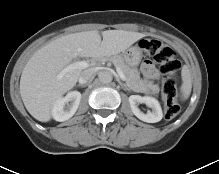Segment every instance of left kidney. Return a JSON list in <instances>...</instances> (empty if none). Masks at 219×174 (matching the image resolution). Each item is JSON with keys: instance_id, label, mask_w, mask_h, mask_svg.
<instances>
[{"instance_id": "5707ae66", "label": "left kidney", "mask_w": 219, "mask_h": 174, "mask_svg": "<svg viewBox=\"0 0 219 174\" xmlns=\"http://www.w3.org/2000/svg\"><path fill=\"white\" fill-rule=\"evenodd\" d=\"M129 103L133 114L140 120L147 122V123H156L159 122L162 117V109L157 99L150 97V96H139V95H131L129 97ZM138 103H144L152 111H148L146 114L140 111L137 107Z\"/></svg>"}]
</instances>
